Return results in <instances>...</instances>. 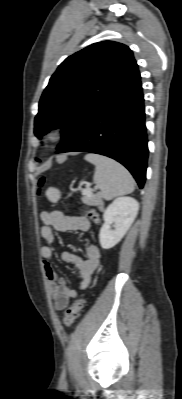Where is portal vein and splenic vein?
I'll use <instances>...</instances> for the list:
<instances>
[{"label": "portal vein and splenic vein", "instance_id": "portal-vein-and-splenic-vein-1", "mask_svg": "<svg viewBox=\"0 0 182 399\" xmlns=\"http://www.w3.org/2000/svg\"><path fill=\"white\" fill-rule=\"evenodd\" d=\"M83 193L86 194V195H92V192L89 189L84 190Z\"/></svg>", "mask_w": 182, "mask_h": 399}]
</instances>
